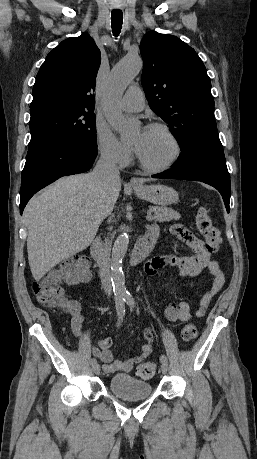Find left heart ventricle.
I'll return each instance as SVG.
<instances>
[{
    "mask_svg": "<svg viewBox=\"0 0 257 459\" xmlns=\"http://www.w3.org/2000/svg\"><path fill=\"white\" fill-rule=\"evenodd\" d=\"M140 156L153 166L165 164L174 153V146L169 137L158 129L139 130L133 139Z\"/></svg>",
    "mask_w": 257,
    "mask_h": 459,
    "instance_id": "left-heart-ventricle-1",
    "label": "left heart ventricle"
}]
</instances>
